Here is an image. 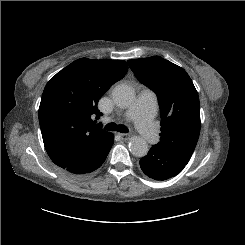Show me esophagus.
Segmentation results:
<instances>
[{"label": "esophagus", "mask_w": 245, "mask_h": 245, "mask_svg": "<svg viewBox=\"0 0 245 245\" xmlns=\"http://www.w3.org/2000/svg\"><path fill=\"white\" fill-rule=\"evenodd\" d=\"M118 135L123 139V140H127L129 139L130 135L126 134V133H118Z\"/></svg>", "instance_id": "obj_1"}]
</instances>
